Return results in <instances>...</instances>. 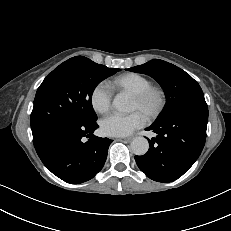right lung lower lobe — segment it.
<instances>
[{"label":"right lung lower lobe","mask_w":231,"mask_h":231,"mask_svg":"<svg viewBox=\"0 0 231 231\" xmlns=\"http://www.w3.org/2000/svg\"><path fill=\"white\" fill-rule=\"evenodd\" d=\"M96 121H66L33 143L43 164L70 184L92 179L103 167L112 140L93 134ZM86 138H88L86 140Z\"/></svg>","instance_id":"right-lung-lower-lobe-1"}]
</instances>
